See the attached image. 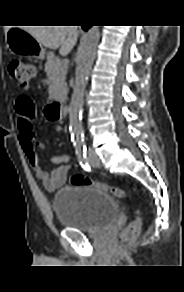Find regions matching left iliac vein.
<instances>
[{
    "instance_id": "left-iliac-vein-1",
    "label": "left iliac vein",
    "mask_w": 184,
    "mask_h": 292,
    "mask_svg": "<svg viewBox=\"0 0 184 292\" xmlns=\"http://www.w3.org/2000/svg\"><path fill=\"white\" fill-rule=\"evenodd\" d=\"M89 162L94 167H100L99 158L92 152L89 154Z\"/></svg>"
}]
</instances>
